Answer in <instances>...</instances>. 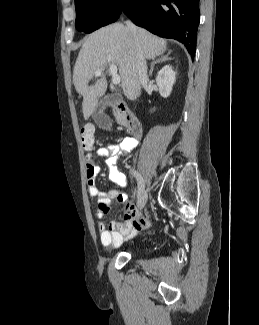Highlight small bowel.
<instances>
[{"instance_id": "obj_1", "label": "small bowel", "mask_w": 259, "mask_h": 325, "mask_svg": "<svg viewBox=\"0 0 259 325\" xmlns=\"http://www.w3.org/2000/svg\"><path fill=\"white\" fill-rule=\"evenodd\" d=\"M137 145V138L124 137L119 143L101 147L95 154L88 155L86 160L88 192L90 196L97 199V216L99 218L108 212L112 202L124 203L127 200V195L120 189L126 186V176L119 170L116 162L122 153L132 151ZM96 156L106 158L108 178L118 188L107 192L99 190L96 179L100 172V166L96 161ZM145 225H147L146 219L141 217L133 205H127L119 220L111 221L108 228L103 222H98L97 230L100 234V242L104 247L117 248Z\"/></svg>"}]
</instances>
